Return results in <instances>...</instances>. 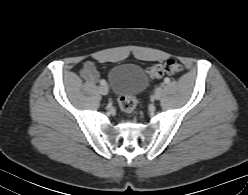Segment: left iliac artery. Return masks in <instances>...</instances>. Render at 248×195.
<instances>
[{
  "label": "left iliac artery",
  "instance_id": "44dca946",
  "mask_svg": "<svg viewBox=\"0 0 248 195\" xmlns=\"http://www.w3.org/2000/svg\"><path fill=\"white\" fill-rule=\"evenodd\" d=\"M164 82H165L166 84H168V83L170 82V79H169V78H165ZM157 89H158V88H157ZM157 89H156V90H157Z\"/></svg>",
  "mask_w": 248,
  "mask_h": 195
}]
</instances>
